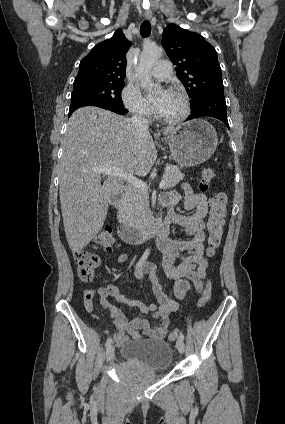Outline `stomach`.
I'll return each mask as SVG.
<instances>
[{"mask_svg":"<svg viewBox=\"0 0 285 424\" xmlns=\"http://www.w3.org/2000/svg\"><path fill=\"white\" fill-rule=\"evenodd\" d=\"M166 141L173 160L182 168L208 160L217 147L218 137L212 125L196 119L175 128Z\"/></svg>","mask_w":285,"mask_h":424,"instance_id":"obj_1","label":"stomach"}]
</instances>
